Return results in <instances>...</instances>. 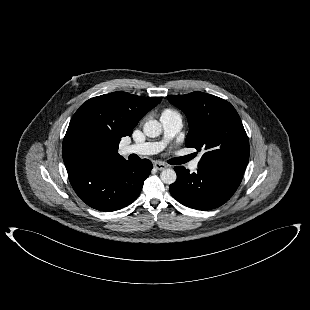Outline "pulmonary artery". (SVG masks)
<instances>
[{
	"label": "pulmonary artery",
	"instance_id": "1",
	"mask_svg": "<svg viewBox=\"0 0 310 310\" xmlns=\"http://www.w3.org/2000/svg\"><path fill=\"white\" fill-rule=\"evenodd\" d=\"M160 121L163 127L164 140L162 142H145L126 145L121 149L123 155H151L163 150L165 143L176 136L183 128V119L178 113L163 112ZM200 158L189 163L188 168L194 172L198 169Z\"/></svg>",
	"mask_w": 310,
	"mask_h": 310
}]
</instances>
